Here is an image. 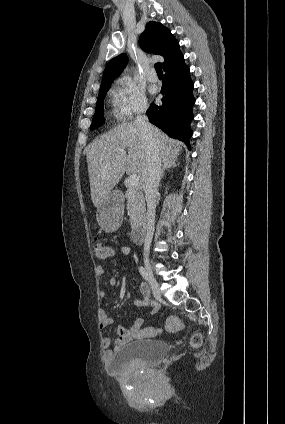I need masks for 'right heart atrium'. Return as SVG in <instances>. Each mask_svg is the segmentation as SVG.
I'll use <instances>...</instances> for the list:
<instances>
[{
  "mask_svg": "<svg viewBox=\"0 0 285 424\" xmlns=\"http://www.w3.org/2000/svg\"><path fill=\"white\" fill-rule=\"evenodd\" d=\"M114 105L122 120H129L148 107L144 89L129 77L117 80L113 90Z\"/></svg>",
  "mask_w": 285,
  "mask_h": 424,
  "instance_id": "d8ad5b80",
  "label": "right heart atrium"
}]
</instances>
